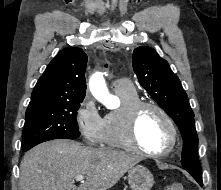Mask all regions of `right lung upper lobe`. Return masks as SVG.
I'll list each match as a JSON object with an SVG mask.
<instances>
[{
	"label": "right lung upper lobe",
	"mask_w": 221,
	"mask_h": 190,
	"mask_svg": "<svg viewBox=\"0 0 221 190\" xmlns=\"http://www.w3.org/2000/svg\"><path fill=\"white\" fill-rule=\"evenodd\" d=\"M87 55L81 48L61 50L39 78L29 106L55 102H81L86 94Z\"/></svg>",
	"instance_id": "right-lung-upper-lobe-1"
}]
</instances>
